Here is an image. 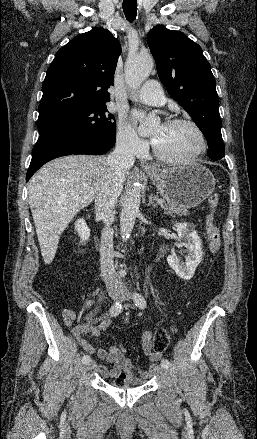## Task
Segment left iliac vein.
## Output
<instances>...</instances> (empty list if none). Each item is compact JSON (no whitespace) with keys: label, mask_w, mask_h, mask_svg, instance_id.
<instances>
[{"label":"left iliac vein","mask_w":257,"mask_h":439,"mask_svg":"<svg viewBox=\"0 0 257 439\" xmlns=\"http://www.w3.org/2000/svg\"><path fill=\"white\" fill-rule=\"evenodd\" d=\"M130 297H131L130 293L127 290H123L120 294V299L122 301L128 300ZM158 371H159L160 375H162L164 377H168V375H169L168 368L166 366L161 365V367H159Z\"/></svg>","instance_id":"obj_1"}]
</instances>
